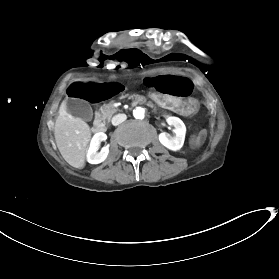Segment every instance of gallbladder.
I'll list each match as a JSON object with an SVG mask.
<instances>
[{
    "mask_svg": "<svg viewBox=\"0 0 279 279\" xmlns=\"http://www.w3.org/2000/svg\"><path fill=\"white\" fill-rule=\"evenodd\" d=\"M66 106L67 111L74 117H80L83 120H88L92 116L90 107L84 102L68 100Z\"/></svg>",
    "mask_w": 279,
    "mask_h": 279,
    "instance_id": "bac80fb5",
    "label": "gallbladder"
}]
</instances>
